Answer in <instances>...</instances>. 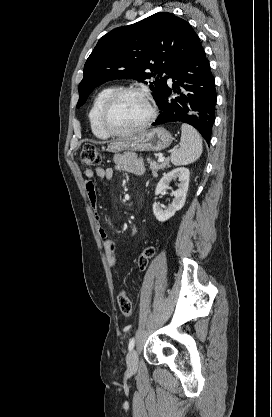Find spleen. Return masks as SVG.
Instances as JSON below:
<instances>
[{
    "label": "spleen",
    "instance_id": "obj_1",
    "mask_svg": "<svg viewBox=\"0 0 272 417\" xmlns=\"http://www.w3.org/2000/svg\"><path fill=\"white\" fill-rule=\"evenodd\" d=\"M180 147L171 153V163L175 166L195 162L202 154V139L192 126L182 124Z\"/></svg>",
    "mask_w": 272,
    "mask_h": 417
}]
</instances>
